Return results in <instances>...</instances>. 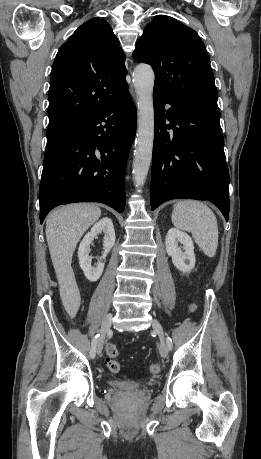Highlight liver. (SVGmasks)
I'll list each match as a JSON object with an SVG mask.
<instances>
[{"mask_svg":"<svg viewBox=\"0 0 261 459\" xmlns=\"http://www.w3.org/2000/svg\"><path fill=\"white\" fill-rule=\"evenodd\" d=\"M100 216L98 206L76 203L53 211L47 218L46 239L63 300L76 290L71 267L76 245Z\"/></svg>","mask_w":261,"mask_h":459,"instance_id":"obj_1","label":"liver"}]
</instances>
